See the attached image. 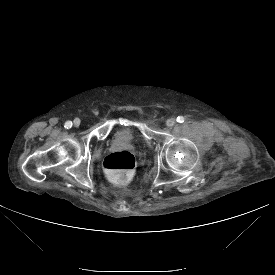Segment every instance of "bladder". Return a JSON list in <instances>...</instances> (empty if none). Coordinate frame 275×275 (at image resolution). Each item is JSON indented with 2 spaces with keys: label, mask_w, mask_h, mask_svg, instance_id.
Instances as JSON below:
<instances>
[{
  "label": "bladder",
  "mask_w": 275,
  "mask_h": 275,
  "mask_svg": "<svg viewBox=\"0 0 275 275\" xmlns=\"http://www.w3.org/2000/svg\"><path fill=\"white\" fill-rule=\"evenodd\" d=\"M133 128L130 125H123L117 130V137L121 139H131Z\"/></svg>",
  "instance_id": "bladder-1"
}]
</instances>
